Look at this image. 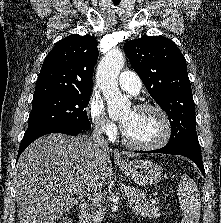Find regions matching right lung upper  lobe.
I'll return each instance as SVG.
<instances>
[{
  "label": "right lung upper lobe",
  "instance_id": "cb5924a9",
  "mask_svg": "<svg viewBox=\"0 0 221 223\" xmlns=\"http://www.w3.org/2000/svg\"><path fill=\"white\" fill-rule=\"evenodd\" d=\"M97 58V41L93 36L73 34L60 40L44 60L33 100L91 92Z\"/></svg>",
  "mask_w": 221,
  "mask_h": 223
}]
</instances>
